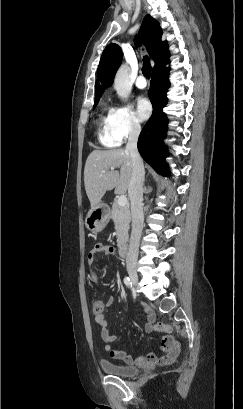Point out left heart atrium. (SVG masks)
I'll use <instances>...</instances> for the list:
<instances>
[{
	"label": "left heart atrium",
	"mask_w": 243,
	"mask_h": 409,
	"mask_svg": "<svg viewBox=\"0 0 243 409\" xmlns=\"http://www.w3.org/2000/svg\"><path fill=\"white\" fill-rule=\"evenodd\" d=\"M151 111H152V107H151L149 100L144 96L138 97L136 101V108H135L136 118L139 121H144L150 116Z\"/></svg>",
	"instance_id": "obj_1"
}]
</instances>
